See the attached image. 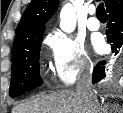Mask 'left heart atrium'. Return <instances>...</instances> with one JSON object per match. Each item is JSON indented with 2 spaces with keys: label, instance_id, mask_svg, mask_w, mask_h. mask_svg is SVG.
I'll return each instance as SVG.
<instances>
[{
  "label": "left heart atrium",
  "instance_id": "1",
  "mask_svg": "<svg viewBox=\"0 0 123 113\" xmlns=\"http://www.w3.org/2000/svg\"><path fill=\"white\" fill-rule=\"evenodd\" d=\"M93 45H94L95 50L98 53H103L106 49L105 42H104L103 38L100 36L94 38Z\"/></svg>",
  "mask_w": 123,
  "mask_h": 113
}]
</instances>
